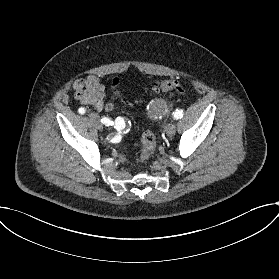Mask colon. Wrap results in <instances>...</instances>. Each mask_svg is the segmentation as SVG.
Here are the masks:
<instances>
[{
	"label": "colon",
	"mask_w": 279,
	"mask_h": 279,
	"mask_svg": "<svg viewBox=\"0 0 279 279\" xmlns=\"http://www.w3.org/2000/svg\"><path fill=\"white\" fill-rule=\"evenodd\" d=\"M154 90L163 95H173L183 93L185 91V86L180 80L170 79L156 83ZM118 96V91L112 90L109 101L104 106L106 111H111L113 109L114 101ZM154 151L155 136L152 132L145 131L142 136L141 161L148 160L154 154Z\"/></svg>",
	"instance_id": "1"
}]
</instances>
